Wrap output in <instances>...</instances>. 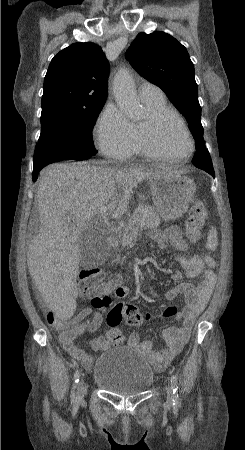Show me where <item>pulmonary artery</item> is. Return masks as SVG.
Listing matches in <instances>:
<instances>
[{"label": "pulmonary artery", "instance_id": "e3ab8cb5", "mask_svg": "<svg viewBox=\"0 0 245 450\" xmlns=\"http://www.w3.org/2000/svg\"><path fill=\"white\" fill-rule=\"evenodd\" d=\"M138 95L142 102L164 98L162 90L150 82H143L138 87Z\"/></svg>", "mask_w": 245, "mask_h": 450}]
</instances>
